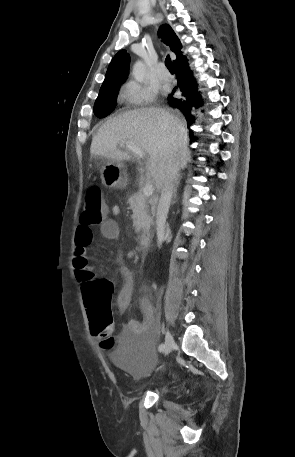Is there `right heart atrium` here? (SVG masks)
<instances>
[{"mask_svg":"<svg viewBox=\"0 0 295 457\" xmlns=\"http://www.w3.org/2000/svg\"><path fill=\"white\" fill-rule=\"evenodd\" d=\"M121 96L130 106H143L154 101L156 92L152 88L130 81L124 85Z\"/></svg>","mask_w":295,"mask_h":457,"instance_id":"obj_1","label":"right heart atrium"}]
</instances>
